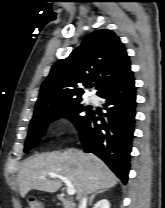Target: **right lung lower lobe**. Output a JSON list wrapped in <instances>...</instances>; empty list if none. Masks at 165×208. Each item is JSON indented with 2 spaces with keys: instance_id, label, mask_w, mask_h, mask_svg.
I'll return each mask as SVG.
<instances>
[{
  "instance_id": "1",
  "label": "right lung lower lobe",
  "mask_w": 165,
  "mask_h": 208,
  "mask_svg": "<svg viewBox=\"0 0 165 208\" xmlns=\"http://www.w3.org/2000/svg\"><path fill=\"white\" fill-rule=\"evenodd\" d=\"M99 96L106 100L105 118H99L92 111L78 129L80 139L85 152H91L100 157L126 184L130 170V152L136 113L133 73L104 90ZM98 120L102 123L97 124Z\"/></svg>"
}]
</instances>
